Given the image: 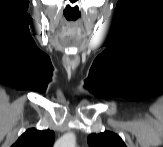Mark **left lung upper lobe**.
I'll return each instance as SVG.
<instances>
[{
	"instance_id": "1",
	"label": "left lung upper lobe",
	"mask_w": 163,
	"mask_h": 147,
	"mask_svg": "<svg viewBox=\"0 0 163 147\" xmlns=\"http://www.w3.org/2000/svg\"><path fill=\"white\" fill-rule=\"evenodd\" d=\"M90 147H126L123 140L115 133L106 131L99 134H91L88 137Z\"/></svg>"
}]
</instances>
